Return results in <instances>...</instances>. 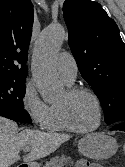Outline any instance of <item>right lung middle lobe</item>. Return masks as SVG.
<instances>
[{
  "mask_svg": "<svg viewBox=\"0 0 125 167\" xmlns=\"http://www.w3.org/2000/svg\"><path fill=\"white\" fill-rule=\"evenodd\" d=\"M25 79L0 78V102L24 108Z\"/></svg>",
  "mask_w": 125,
  "mask_h": 167,
  "instance_id": "obj_1",
  "label": "right lung middle lobe"
}]
</instances>
